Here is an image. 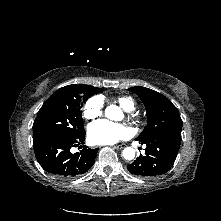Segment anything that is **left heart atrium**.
Returning <instances> with one entry per match:
<instances>
[{"label": "left heart atrium", "mask_w": 221, "mask_h": 221, "mask_svg": "<svg viewBox=\"0 0 221 221\" xmlns=\"http://www.w3.org/2000/svg\"><path fill=\"white\" fill-rule=\"evenodd\" d=\"M128 135L129 130L124 125L107 120L96 121L88 127V138L93 144H114Z\"/></svg>", "instance_id": "obj_1"}]
</instances>
